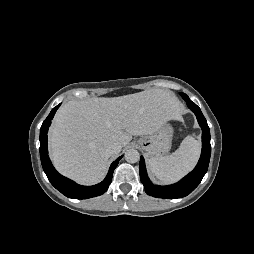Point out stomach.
<instances>
[{"label":"stomach","instance_id":"1","mask_svg":"<svg viewBox=\"0 0 254 254\" xmlns=\"http://www.w3.org/2000/svg\"><path fill=\"white\" fill-rule=\"evenodd\" d=\"M173 128L167 122L155 133L143 136L138 140V145L146 152L148 157H162L166 155L172 144Z\"/></svg>","mask_w":254,"mask_h":254}]
</instances>
